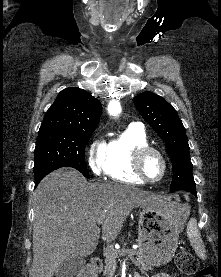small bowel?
Here are the masks:
<instances>
[{
  "mask_svg": "<svg viewBox=\"0 0 221 277\" xmlns=\"http://www.w3.org/2000/svg\"><path fill=\"white\" fill-rule=\"evenodd\" d=\"M154 277H173V276H171L170 274H167V273H160V274L155 275Z\"/></svg>",
  "mask_w": 221,
  "mask_h": 277,
  "instance_id": "small-bowel-1",
  "label": "small bowel"
}]
</instances>
